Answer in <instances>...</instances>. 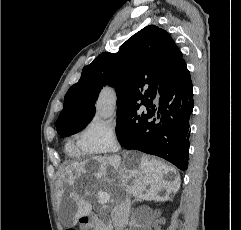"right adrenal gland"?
Listing matches in <instances>:
<instances>
[{
	"mask_svg": "<svg viewBox=\"0 0 241 230\" xmlns=\"http://www.w3.org/2000/svg\"><path fill=\"white\" fill-rule=\"evenodd\" d=\"M135 201H143V199H136ZM135 201H134V202H135Z\"/></svg>",
	"mask_w": 241,
	"mask_h": 230,
	"instance_id": "right-adrenal-gland-1",
	"label": "right adrenal gland"
}]
</instances>
